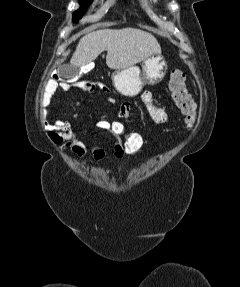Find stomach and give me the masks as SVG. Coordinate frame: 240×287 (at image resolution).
<instances>
[{
	"label": "stomach",
	"mask_w": 240,
	"mask_h": 287,
	"mask_svg": "<svg viewBox=\"0 0 240 287\" xmlns=\"http://www.w3.org/2000/svg\"><path fill=\"white\" fill-rule=\"evenodd\" d=\"M167 70V63L161 53L147 57L142 65V71L137 66L118 70L112 74L116 90L124 96L134 97L145 85L160 83Z\"/></svg>",
	"instance_id": "obj_1"
}]
</instances>
